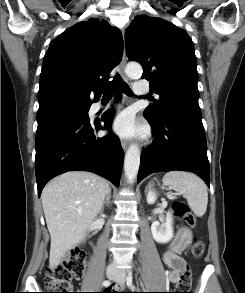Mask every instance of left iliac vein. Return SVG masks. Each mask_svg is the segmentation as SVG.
Masks as SVG:
<instances>
[{
    "label": "left iliac vein",
    "instance_id": "left-iliac-vein-1",
    "mask_svg": "<svg viewBox=\"0 0 245 293\" xmlns=\"http://www.w3.org/2000/svg\"><path fill=\"white\" fill-rule=\"evenodd\" d=\"M125 276H126L125 272L121 271L114 278V281L117 282L119 285H123L125 283Z\"/></svg>",
    "mask_w": 245,
    "mask_h": 293
}]
</instances>
